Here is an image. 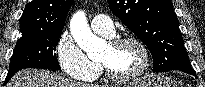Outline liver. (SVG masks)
<instances>
[{
	"mask_svg": "<svg viewBox=\"0 0 205 87\" xmlns=\"http://www.w3.org/2000/svg\"><path fill=\"white\" fill-rule=\"evenodd\" d=\"M6 87H104L75 82L62 76L38 69H24L16 73Z\"/></svg>",
	"mask_w": 205,
	"mask_h": 87,
	"instance_id": "liver-1",
	"label": "liver"
}]
</instances>
